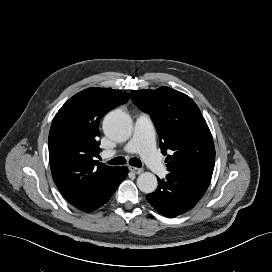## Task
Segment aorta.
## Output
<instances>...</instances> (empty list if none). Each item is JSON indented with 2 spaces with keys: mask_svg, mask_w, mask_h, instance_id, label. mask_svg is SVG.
Listing matches in <instances>:
<instances>
[{
  "mask_svg": "<svg viewBox=\"0 0 272 272\" xmlns=\"http://www.w3.org/2000/svg\"><path fill=\"white\" fill-rule=\"evenodd\" d=\"M104 133L112 140L123 142L131 137L133 125L129 115L120 110L109 112L103 120ZM158 185L153 173L144 172L137 178V186L144 193H152Z\"/></svg>",
  "mask_w": 272,
  "mask_h": 272,
  "instance_id": "aorta-1",
  "label": "aorta"
}]
</instances>
